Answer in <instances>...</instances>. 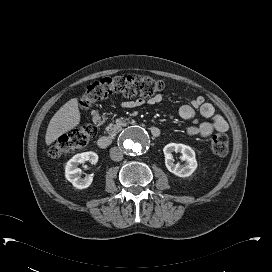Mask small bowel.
Instances as JSON below:
<instances>
[{
  "mask_svg": "<svg viewBox=\"0 0 272 272\" xmlns=\"http://www.w3.org/2000/svg\"><path fill=\"white\" fill-rule=\"evenodd\" d=\"M162 97L156 95L149 98L146 103L149 105H156L160 103ZM143 100H136L131 102H125L123 107L133 108L144 104ZM198 113L205 120L198 125H189L186 127L185 132L189 136L208 137L213 132H227L228 123L219 114L215 112V109L211 103L205 101L203 96L190 97L188 103L183 104L179 108V115L185 120H190Z\"/></svg>",
  "mask_w": 272,
  "mask_h": 272,
  "instance_id": "1",
  "label": "small bowel"
}]
</instances>
